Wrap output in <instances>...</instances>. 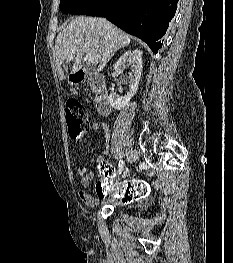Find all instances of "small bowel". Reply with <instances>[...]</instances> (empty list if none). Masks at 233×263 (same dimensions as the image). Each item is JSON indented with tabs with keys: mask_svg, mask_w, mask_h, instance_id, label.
Listing matches in <instances>:
<instances>
[{
	"mask_svg": "<svg viewBox=\"0 0 233 263\" xmlns=\"http://www.w3.org/2000/svg\"><path fill=\"white\" fill-rule=\"evenodd\" d=\"M91 128L95 131L97 130L103 131L105 137V143L102 148V153L107 154L109 152V140H110L109 127L104 122L94 121L91 125ZM96 163L99 171H108V170L113 171L112 167L108 163H106L102 157H98L96 159ZM77 172L81 178L80 183L83 188H87L95 178V174L92 171H90L87 167H80L78 168ZM105 196L106 195H97V197H95L93 195L86 193L85 191H79L80 199L89 207L97 206L99 203V198H104Z\"/></svg>",
	"mask_w": 233,
	"mask_h": 263,
	"instance_id": "c3829d8e",
	"label": "small bowel"
}]
</instances>
